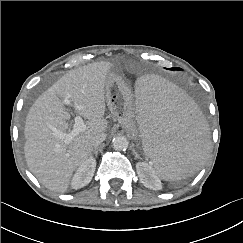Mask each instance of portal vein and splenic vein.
<instances>
[{"label":"portal vein and splenic vein","mask_w":243,"mask_h":243,"mask_svg":"<svg viewBox=\"0 0 243 243\" xmlns=\"http://www.w3.org/2000/svg\"><path fill=\"white\" fill-rule=\"evenodd\" d=\"M65 105H70L71 102L68 98L64 99ZM86 130V125L83 122L82 118L80 116L75 117V124L73 125V129L68 133H63L61 131H58L56 129H53V134L55 137L60 139H65L67 143L72 141V139L79 135L80 133H83Z\"/></svg>","instance_id":"obj_1"}]
</instances>
